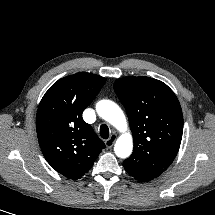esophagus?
I'll list each match as a JSON object with an SVG mask.
<instances>
[{"instance_id":"esophagus-1","label":"esophagus","mask_w":215,"mask_h":215,"mask_svg":"<svg viewBox=\"0 0 215 215\" xmlns=\"http://www.w3.org/2000/svg\"><path fill=\"white\" fill-rule=\"evenodd\" d=\"M116 139H117V136H116L115 134H112V135L109 137V139H107V140L105 141L106 147L111 148V147L114 145Z\"/></svg>"}]
</instances>
